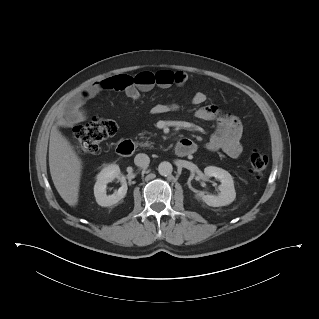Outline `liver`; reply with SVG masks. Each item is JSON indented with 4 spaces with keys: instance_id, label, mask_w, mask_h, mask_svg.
Wrapping results in <instances>:
<instances>
[{
    "instance_id": "obj_1",
    "label": "liver",
    "mask_w": 319,
    "mask_h": 319,
    "mask_svg": "<svg viewBox=\"0 0 319 319\" xmlns=\"http://www.w3.org/2000/svg\"><path fill=\"white\" fill-rule=\"evenodd\" d=\"M49 167L54 186L61 198L69 206H76L82 161L69 140L56 127L50 134Z\"/></svg>"
}]
</instances>
